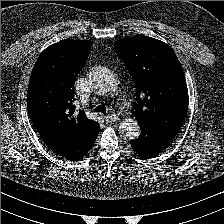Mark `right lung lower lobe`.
Here are the masks:
<instances>
[{
    "mask_svg": "<svg viewBox=\"0 0 224 224\" xmlns=\"http://www.w3.org/2000/svg\"><path fill=\"white\" fill-rule=\"evenodd\" d=\"M94 139H95V138H94ZM94 139L90 142L89 145L86 146V148L79 150V152H77L76 154H74L73 157H74L75 159H78V158L83 154L84 151H86L88 148H90V147L92 146V143L94 142Z\"/></svg>",
    "mask_w": 224,
    "mask_h": 224,
    "instance_id": "1",
    "label": "right lung lower lobe"
}]
</instances>
